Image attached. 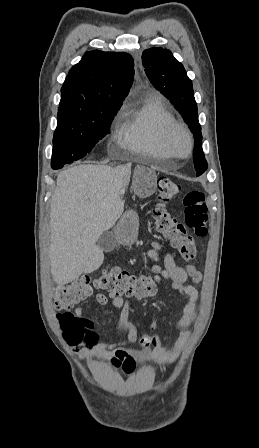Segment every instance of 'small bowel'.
<instances>
[{"mask_svg": "<svg viewBox=\"0 0 259 448\" xmlns=\"http://www.w3.org/2000/svg\"><path fill=\"white\" fill-rule=\"evenodd\" d=\"M161 245L154 242L152 249L149 251L151 259L159 258ZM163 269L161 277L172 282V289L178 291L185 298L182 313L177 322L180 329L178 338L171 347H164L165 338L155 337L153 347H143L142 349L132 348L129 345L134 344L138 340V332L133 323L129 320L130 303L121 296L109 293L108 295L98 293L95 296L99 305H107L111 302L114 308L120 309V316L117 327L119 330L126 332L127 339L123 343H107L99 340L96 333H89L86 339L79 345L72 346L73 351L82 361H90L96 357L101 361L108 362L113 368L121 369L125 374H131L139 363H154L156 365H169L173 363L180 355L181 350L187 342L190 332L189 327L192 325L197 313V290L192 285H188L187 281L198 283L201 281V273L193 265L184 267L175 263L173 256L169 253L163 256ZM81 309L76 310V314H80ZM157 323L153 321L150 325L155 329Z\"/></svg>", "mask_w": 259, "mask_h": 448, "instance_id": "small-bowel-1", "label": "small bowel"}]
</instances>
